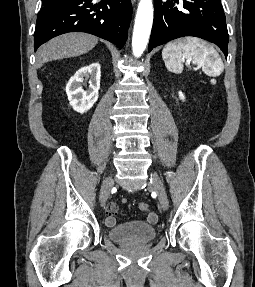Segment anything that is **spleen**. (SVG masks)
<instances>
[{"label": "spleen", "mask_w": 255, "mask_h": 287, "mask_svg": "<svg viewBox=\"0 0 255 287\" xmlns=\"http://www.w3.org/2000/svg\"><path fill=\"white\" fill-rule=\"evenodd\" d=\"M162 58L166 68L171 72L181 74L183 60H190L193 64H202L204 72L213 78L220 76L224 70L223 62L214 48H209L206 42L199 38H180L166 44L162 50Z\"/></svg>", "instance_id": "obj_1"}]
</instances>
